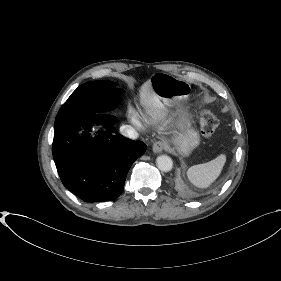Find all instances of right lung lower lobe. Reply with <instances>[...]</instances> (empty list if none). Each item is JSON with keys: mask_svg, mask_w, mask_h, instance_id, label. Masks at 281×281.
Returning <instances> with one entry per match:
<instances>
[{"mask_svg": "<svg viewBox=\"0 0 281 281\" xmlns=\"http://www.w3.org/2000/svg\"><path fill=\"white\" fill-rule=\"evenodd\" d=\"M115 121L107 113H77L55 124L52 151L58 174L64 186L86 202L117 198L132 163L146 151L143 142L113 134ZM93 126L106 130L90 137Z\"/></svg>", "mask_w": 281, "mask_h": 281, "instance_id": "right-lung-lower-lobe-1", "label": "right lung lower lobe"}]
</instances>
